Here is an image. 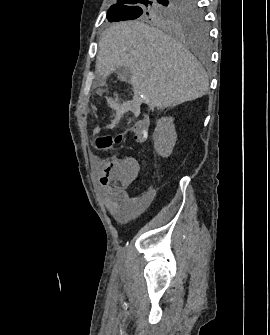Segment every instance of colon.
I'll return each mask as SVG.
<instances>
[{"mask_svg": "<svg viewBox=\"0 0 270 335\" xmlns=\"http://www.w3.org/2000/svg\"><path fill=\"white\" fill-rule=\"evenodd\" d=\"M125 133L117 134L115 136L102 135L96 139V147L98 150H106L111 148L113 145H118L124 139Z\"/></svg>", "mask_w": 270, "mask_h": 335, "instance_id": "colon-1", "label": "colon"}]
</instances>
